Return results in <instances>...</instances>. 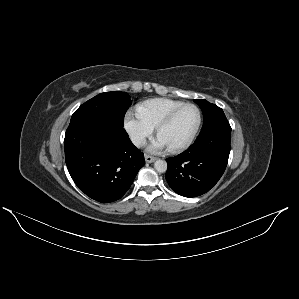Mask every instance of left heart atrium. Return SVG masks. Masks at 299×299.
Wrapping results in <instances>:
<instances>
[{
    "label": "left heart atrium",
    "mask_w": 299,
    "mask_h": 299,
    "mask_svg": "<svg viewBox=\"0 0 299 299\" xmlns=\"http://www.w3.org/2000/svg\"><path fill=\"white\" fill-rule=\"evenodd\" d=\"M169 148V146L167 145V143L159 136L150 146H149V150L150 151H160L163 149H167Z\"/></svg>",
    "instance_id": "obj_1"
}]
</instances>
